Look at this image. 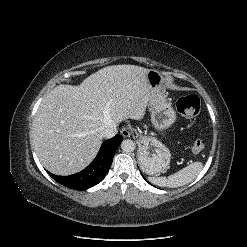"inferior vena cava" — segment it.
Instances as JSON below:
<instances>
[{"label":"inferior vena cava","instance_id":"obj_1","mask_svg":"<svg viewBox=\"0 0 247 247\" xmlns=\"http://www.w3.org/2000/svg\"><path fill=\"white\" fill-rule=\"evenodd\" d=\"M117 134V125L115 123L110 124L102 133L104 138H112Z\"/></svg>","mask_w":247,"mask_h":247}]
</instances>
